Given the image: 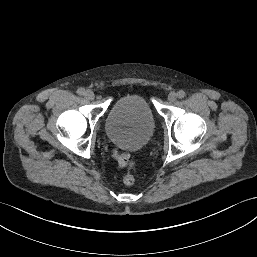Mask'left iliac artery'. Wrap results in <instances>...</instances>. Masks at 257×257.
Listing matches in <instances>:
<instances>
[{
	"label": "left iliac artery",
	"mask_w": 257,
	"mask_h": 257,
	"mask_svg": "<svg viewBox=\"0 0 257 257\" xmlns=\"http://www.w3.org/2000/svg\"><path fill=\"white\" fill-rule=\"evenodd\" d=\"M177 96L178 98L182 99L186 96L185 92L183 90H180L178 93H177Z\"/></svg>",
	"instance_id": "left-iliac-artery-1"
}]
</instances>
